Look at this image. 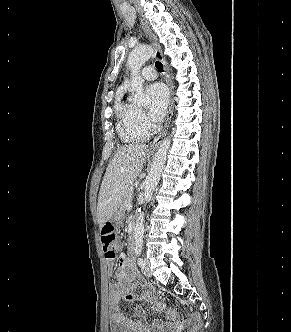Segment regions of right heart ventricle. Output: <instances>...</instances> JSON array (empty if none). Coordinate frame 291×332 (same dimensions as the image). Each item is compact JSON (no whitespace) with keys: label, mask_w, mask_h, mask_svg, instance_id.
I'll return each instance as SVG.
<instances>
[{"label":"right heart ventricle","mask_w":291,"mask_h":332,"mask_svg":"<svg viewBox=\"0 0 291 332\" xmlns=\"http://www.w3.org/2000/svg\"><path fill=\"white\" fill-rule=\"evenodd\" d=\"M114 110L117 118V133L122 141L133 143L148 137V131L138 125L139 110L134 105L119 97L115 101Z\"/></svg>","instance_id":"obj_1"}]
</instances>
